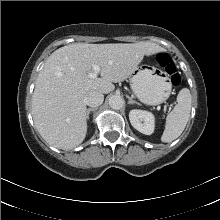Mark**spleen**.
<instances>
[{
    "label": "spleen",
    "instance_id": "spleen-1",
    "mask_svg": "<svg viewBox=\"0 0 220 220\" xmlns=\"http://www.w3.org/2000/svg\"><path fill=\"white\" fill-rule=\"evenodd\" d=\"M192 97L188 88H183L177 95V104L167 115L161 141L165 143L177 139L184 131L189 120Z\"/></svg>",
    "mask_w": 220,
    "mask_h": 220
}]
</instances>
